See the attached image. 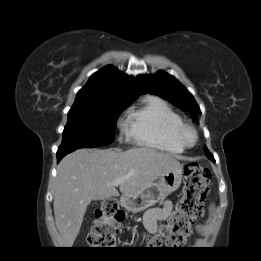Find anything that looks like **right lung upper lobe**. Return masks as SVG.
<instances>
[{
	"label": "right lung upper lobe",
	"mask_w": 261,
	"mask_h": 261,
	"mask_svg": "<svg viewBox=\"0 0 261 261\" xmlns=\"http://www.w3.org/2000/svg\"><path fill=\"white\" fill-rule=\"evenodd\" d=\"M144 93L137 78L119 73L113 66H107L91 76L88 83L77 93L76 100L97 97L134 100Z\"/></svg>",
	"instance_id": "cb5924a9"
}]
</instances>
